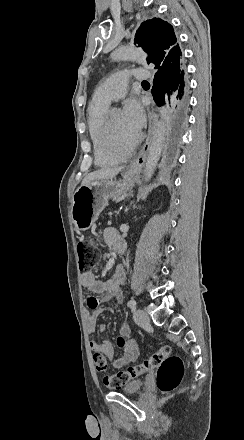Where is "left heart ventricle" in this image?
I'll use <instances>...</instances> for the list:
<instances>
[{"label": "left heart ventricle", "instance_id": "left-heart-ventricle-1", "mask_svg": "<svg viewBox=\"0 0 244 440\" xmlns=\"http://www.w3.org/2000/svg\"><path fill=\"white\" fill-rule=\"evenodd\" d=\"M110 130H113L114 132L109 140L111 146L124 145L126 140L130 138L122 111H115L112 113Z\"/></svg>", "mask_w": 244, "mask_h": 440}]
</instances>
